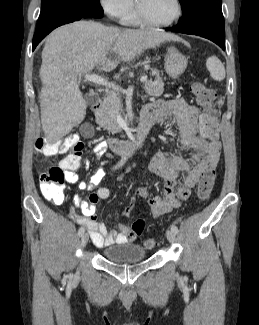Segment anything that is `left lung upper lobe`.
I'll list each match as a JSON object with an SVG mask.
<instances>
[{"label": "left lung upper lobe", "mask_w": 259, "mask_h": 325, "mask_svg": "<svg viewBox=\"0 0 259 325\" xmlns=\"http://www.w3.org/2000/svg\"><path fill=\"white\" fill-rule=\"evenodd\" d=\"M183 9V19L191 16L194 11L202 6H209L221 9L222 0H179ZM181 20V21H182Z\"/></svg>", "instance_id": "obj_1"}]
</instances>
